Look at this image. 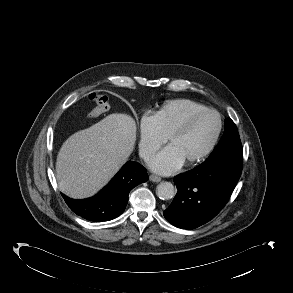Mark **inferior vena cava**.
<instances>
[{
	"label": "inferior vena cava",
	"instance_id": "602c4592",
	"mask_svg": "<svg viewBox=\"0 0 293 293\" xmlns=\"http://www.w3.org/2000/svg\"><path fill=\"white\" fill-rule=\"evenodd\" d=\"M140 156L145 160L149 161V159L152 157V153L146 150H141Z\"/></svg>",
	"mask_w": 293,
	"mask_h": 293
}]
</instances>
